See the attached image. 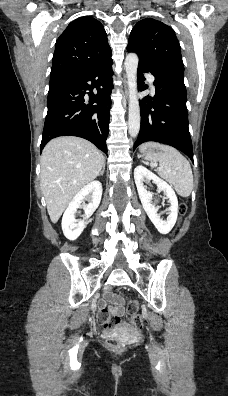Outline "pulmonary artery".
Here are the masks:
<instances>
[{
  "label": "pulmonary artery",
  "instance_id": "obj_1",
  "mask_svg": "<svg viewBox=\"0 0 228 396\" xmlns=\"http://www.w3.org/2000/svg\"><path fill=\"white\" fill-rule=\"evenodd\" d=\"M147 77H148L151 88L154 89V84H153L154 78L149 74L147 75Z\"/></svg>",
  "mask_w": 228,
  "mask_h": 396
}]
</instances>
